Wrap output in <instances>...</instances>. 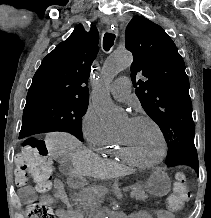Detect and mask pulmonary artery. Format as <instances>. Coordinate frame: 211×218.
<instances>
[{"label":"pulmonary artery","mask_w":211,"mask_h":218,"mask_svg":"<svg viewBox=\"0 0 211 218\" xmlns=\"http://www.w3.org/2000/svg\"><path fill=\"white\" fill-rule=\"evenodd\" d=\"M127 79V77H121L111 85V93L115 98L125 100L129 96L130 80Z\"/></svg>","instance_id":"1"}]
</instances>
